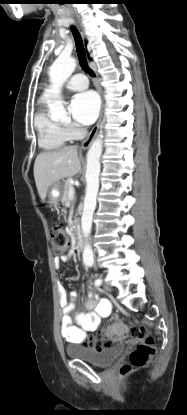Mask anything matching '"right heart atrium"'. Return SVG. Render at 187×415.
<instances>
[{
  "mask_svg": "<svg viewBox=\"0 0 187 415\" xmlns=\"http://www.w3.org/2000/svg\"><path fill=\"white\" fill-rule=\"evenodd\" d=\"M64 128L70 139L78 137L81 133V129L73 123L66 124Z\"/></svg>",
  "mask_w": 187,
  "mask_h": 415,
  "instance_id": "1",
  "label": "right heart atrium"
}]
</instances>
